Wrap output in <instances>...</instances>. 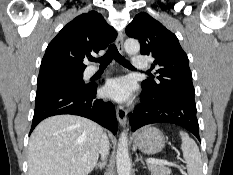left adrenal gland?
<instances>
[{"instance_id":"left-adrenal-gland-1","label":"left adrenal gland","mask_w":233,"mask_h":175,"mask_svg":"<svg viewBox=\"0 0 233 175\" xmlns=\"http://www.w3.org/2000/svg\"><path fill=\"white\" fill-rule=\"evenodd\" d=\"M139 161H140V162L143 164V166H144V161H143L142 159H139L138 155H136L135 163H136V162H139Z\"/></svg>"}]
</instances>
